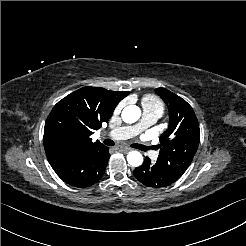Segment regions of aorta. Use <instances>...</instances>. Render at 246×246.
Returning <instances> with one entry per match:
<instances>
[{
  "mask_svg": "<svg viewBox=\"0 0 246 246\" xmlns=\"http://www.w3.org/2000/svg\"><path fill=\"white\" fill-rule=\"evenodd\" d=\"M141 116V110L136 105H129L125 107L122 111V120L126 123H134ZM128 163L133 167H139L143 163V156L138 151H131L127 155Z\"/></svg>",
  "mask_w": 246,
  "mask_h": 246,
  "instance_id": "1",
  "label": "aorta"
}]
</instances>
